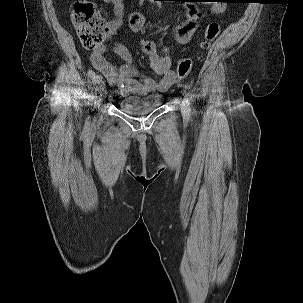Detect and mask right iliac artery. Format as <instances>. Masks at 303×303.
Here are the masks:
<instances>
[{
  "mask_svg": "<svg viewBox=\"0 0 303 303\" xmlns=\"http://www.w3.org/2000/svg\"><path fill=\"white\" fill-rule=\"evenodd\" d=\"M94 83L96 85L95 92H101L105 88V84L100 76L95 77Z\"/></svg>",
  "mask_w": 303,
  "mask_h": 303,
  "instance_id": "right-iliac-artery-1",
  "label": "right iliac artery"
}]
</instances>
